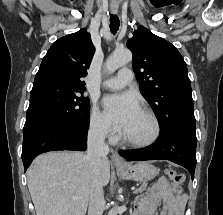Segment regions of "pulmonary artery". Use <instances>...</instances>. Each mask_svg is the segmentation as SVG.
Returning <instances> with one entry per match:
<instances>
[{
	"mask_svg": "<svg viewBox=\"0 0 223 215\" xmlns=\"http://www.w3.org/2000/svg\"><path fill=\"white\" fill-rule=\"evenodd\" d=\"M132 80V69H119V71L113 77L103 82V86L108 89H121Z\"/></svg>",
	"mask_w": 223,
	"mask_h": 215,
	"instance_id": "pulmonary-artery-1",
	"label": "pulmonary artery"
}]
</instances>
